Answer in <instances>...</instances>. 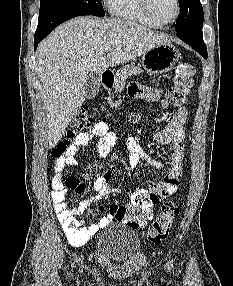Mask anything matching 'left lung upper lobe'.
<instances>
[{
	"mask_svg": "<svg viewBox=\"0 0 233 286\" xmlns=\"http://www.w3.org/2000/svg\"><path fill=\"white\" fill-rule=\"evenodd\" d=\"M180 17L177 18L175 30L181 31L188 26L203 22V8L200 0H178Z\"/></svg>",
	"mask_w": 233,
	"mask_h": 286,
	"instance_id": "5c2ea615",
	"label": "left lung upper lobe"
}]
</instances>
